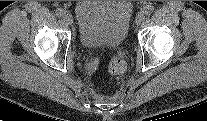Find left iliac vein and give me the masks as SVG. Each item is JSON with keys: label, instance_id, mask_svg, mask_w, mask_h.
I'll use <instances>...</instances> for the list:
<instances>
[{"label": "left iliac vein", "instance_id": "1", "mask_svg": "<svg viewBox=\"0 0 207 121\" xmlns=\"http://www.w3.org/2000/svg\"><path fill=\"white\" fill-rule=\"evenodd\" d=\"M145 19L143 12H139L135 18V22L137 25H140Z\"/></svg>", "mask_w": 207, "mask_h": 121}]
</instances>
